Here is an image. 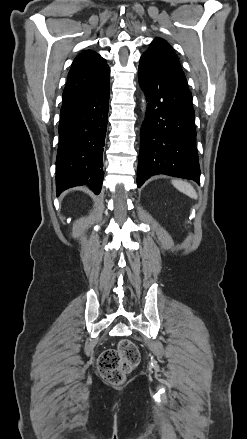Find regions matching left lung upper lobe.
<instances>
[{"instance_id": "obj_1", "label": "left lung upper lobe", "mask_w": 247, "mask_h": 439, "mask_svg": "<svg viewBox=\"0 0 247 439\" xmlns=\"http://www.w3.org/2000/svg\"><path fill=\"white\" fill-rule=\"evenodd\" d=\"M140 60L159 73L188 88L179 60L172 47L164 39L155 38Z\"/></svg>"}]
</instances>
